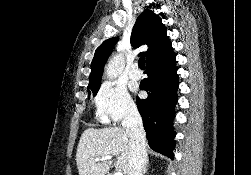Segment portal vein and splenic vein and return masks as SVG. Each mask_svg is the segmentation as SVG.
I'll list each match as a JSON object with an SVG mask.
<instances>
[{
	"mask_svg": "<svg viewBox=\"0 0 251 175\" xmlns=\"http://www.w3.org/2000/svg\"><path fill=\"white\" fill-rule=\"evenodd\" d=\"M113 155H103V157H95V161H107V159H112ZM113 175H123L121 169L115 171Z\"/></svg>",
	"mask_w": 251,
	"mask_h": 175,
	"instance_id": "1",
	"label": "portal vein and splenic vein"
}]
</instances>
